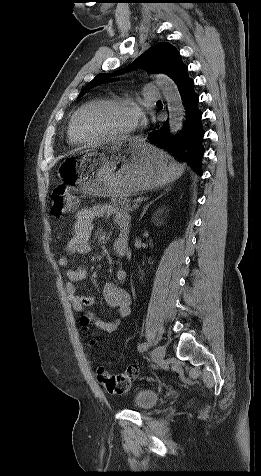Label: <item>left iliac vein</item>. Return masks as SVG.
I'll use <instances>...</instances> for the list:
<instances>
[{"mask_svg":"<svg viewBox=\"0 0 261 476\" xmlns=\"http://www.w3.org/2000/svg\"><path fill=\"white\" fill-rule=\"evenodd\" d=\"M166 354V349L164 346H157L152 352V359L155 362H162Z\"/></svg>","mask_w":261,"mask_h":476,"instance_id":"obj_1","label":"left iliac vein"}]
</instances>
